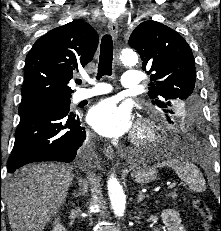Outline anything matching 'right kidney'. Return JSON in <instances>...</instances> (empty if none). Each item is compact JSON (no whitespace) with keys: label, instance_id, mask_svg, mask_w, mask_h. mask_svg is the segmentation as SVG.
<instances>
[{"label":"right kidney","instance_id":"obj_1","mask_svg":"<svg viewBox=\"0 0 221 231\" xmlns=\"http://www.w3.org/2000/svg\"><path fill=\"white\" fill-rule=\"evenodd\" d=\"M52 231H67L65 227L59 222V219H56L54 222V227Z\"/></svg>","mask_w":221,"mask_h":231}]
</instances>
